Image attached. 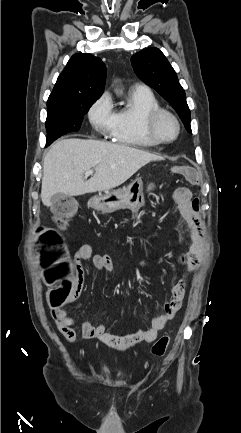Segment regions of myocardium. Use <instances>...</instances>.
Instances as JSON below:
<instances>
[{"instance_id": "1", "label": "myocardium", "mask_w": 241, "mask_h": 433, "mask_svg": "<svg viewBox=\"0 0 241 433\" xmlns=\"http://www.w3.org/2000/svg\"><path fill=\"white\" fill-rule=\"evenodd\" d=\"M169 117L175 124L176 126V133L175 136L171 139H163L160 137V135L157 132V125L158 122L160 121V119L162 117ZM144 128H145V132L147 134V136L157 145H162V144H170L174 141H176L180 135L181 132V125H180V121L177 118V116L165 109V108H157L154 109L152 111H150L145 118V122H144Z\"/></svg>"}]
</instances>
